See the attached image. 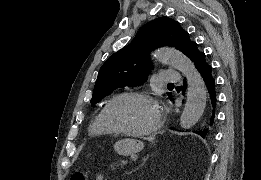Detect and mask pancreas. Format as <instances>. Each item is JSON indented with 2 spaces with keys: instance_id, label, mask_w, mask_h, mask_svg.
<instances>
[{
  "instance_id": "pancreas-1",
  "label": "pancreas",
  "mask_w": 261,
  "mask_h": 180,
  "mask_svg": "<svg viewBox=\"0 0 261 180\" xmlns=\"http://www.w3.org/2000/svg\"><path fill=\"white\" fill-rule=\"evenodd\" d=\"M109 170H119L118 160L117 159H111L108 163Z\"/></svg>"
}]
</instances>
